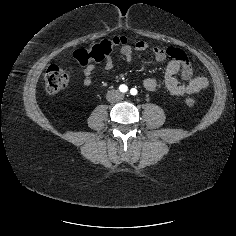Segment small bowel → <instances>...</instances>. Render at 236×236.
<instances>
[{
  "instance_id": "obj_1",
  "label": "small bowel",
  "mask_w": 236,
  "mask_h": 236,
  "mask_svg": "<svg viewBox=\"0 0 236 236\" xmlns=\"http://www.w3.org/2000/svg\"><path fill=\"white\" fill-rule=\"evenodd\" d=\"M133 48L138 51H145L150 48L146 41H137L134 45L127 43L121 48V54L127 62L133 59ZM154 57L158 61L170 59L168 62L165 75L164 85L166 89L173 95L185 96L198 93L206 89L209 85L207 78L202 76H193V69L186 54L176 47H152ZM103 67L106 71H110L114 67L113 60L110 56L104 59ZM95 65L88 63L83 68L82 83L84 86H90L95 73ZM180 74L182 82H179L176 75ZM143 86L148 91H155L158 87V81L153 77H147L143 81Z\"/></svg>"
}]
</instances>
